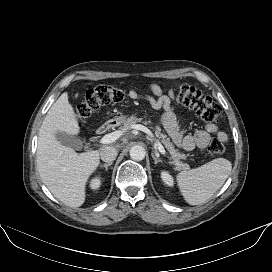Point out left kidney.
I'll return each mask as SVG.
<instances>
[{
	"label": "left kidney",
	"mask_w": 272,
	"mask_h": 272,
	"mask_svg": "<svg viewBox=\"0 0 272 272\" xmlns=\"http://www.w3.org/2000/svg\"><path fill=\"white\" fill-rule=\"evenodd\" d=\"M161 178L166 185L170 187L174 185L173 177L167 171L161 172Z\"/></svg>",
	"instance_id": "5707ae66"
}]
</instances>
